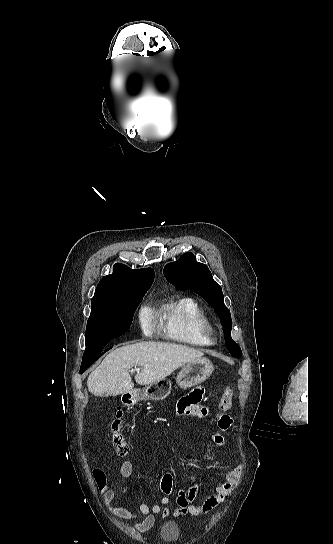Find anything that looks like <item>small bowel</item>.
<instances>
[{
	"mask_svg": "<svg viewBox=\"0 0 333 544\" xmlns=\"http://www.w3.org/2000/svg\"><path fill=\"white\" fill-rule=\"evenodd\" d=\"M204 398L205 389L197 387L178 401V414L187 418H202L207 416L209 414V406L205 403ZM231 425L232 420L228 415H223L218 419V430L213 431L211 434V438L216 445H225L226 441L222 433L227 431ZM241 470V466H237L228 471L215 486L213 492L199 501L197 500V485H193L187 489H179L175 507L170 506L173 479L169 473L164 474L161 478L160 488L164 496L161 498L160 503L153 506L141 503L138 512L131 511L125 507L115 506L113 501L116 497V491L109 485L104 484L100 489V493L107 510L113 516L126 520H135L137 522L134 524V528L140 532H145L152 528L157 514H162L164 517H176L187 514L199 516L211 512L234 489L241 476ZM132 471V462L129 460L123 461L119 469L120 476L127 478L131 475Z\"/></svg>",
	"mask_w": 333,
	"mask_h": 544,
	"instance_id": "1",
	"label": "small bowel"
}]
</instances>
